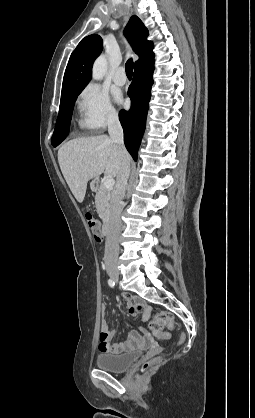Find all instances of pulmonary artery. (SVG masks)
<instances>
[{"label":"pulmonary artery","mask_w":255,"mask_h":418,"mask_svg":"<svg viewBox=\"0 0 255 418\" xmlns=\"http://www.w3.org/2000/svg\"><path fill=\"white\" fill-rule=\"evenodd\" d=\"M113 80L117 85H124L127 81L126 75H125V69L124 67H119L114 76H113Z\"/></svg>","instance_id":"pulmonary-artery-1"}]
</instances>
